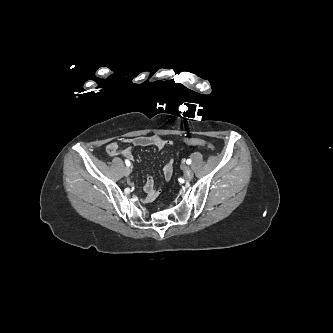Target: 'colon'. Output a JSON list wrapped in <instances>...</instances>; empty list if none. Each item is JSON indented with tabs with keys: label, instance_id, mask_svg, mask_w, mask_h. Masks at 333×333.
<instances>
[{
	"label": "colon",
	"instance_id": "5ec220e1",
	"mask_svg": "<svg viewBox=\"0 0 333 333\" xmlns=\"http://www.w3.org/2000/svg\"><path fill=\"white\" fill-rule=\"evenodd\" d=\"M185 143L191 146H200V147H205L209 150H213L214 147L211 143L208 141L201 139V138H187L185 139Z\"/></svg>",
	"mask_w": 333,
	"mask_h": 333
}]
</instances>
